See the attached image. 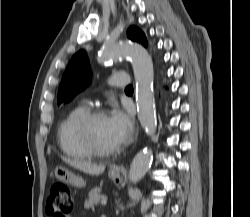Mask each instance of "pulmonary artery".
Listing matches in <instances>:
<instances>
[{
  "label": "pulmonary artery",
  "instance_id": "1",
  "mask_svg": "<svg viewBox=\"0 0 250 217\" xmlns=\"http://www.w3.org/2000/svg\"><path fill=\"white\" fill-rule=\"evenodd\" d=\"M128 83L129 77L126 73H113L109 79V84L112 87L124 88Z\"/></svg>",
  "mask_w": 250,
  "mask_h": 217
}]
</instances>
